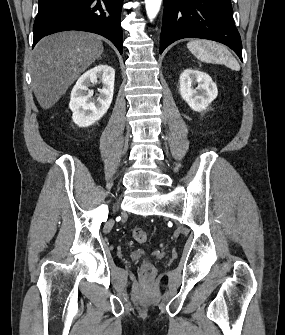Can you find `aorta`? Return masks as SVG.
Here are the masks:
<instances>
[{"label": "aorta", "instance_id": "762f6f07", "mask_svg": "<svg viewBox=\"0 0 285 335\" xmlns=\"http://www.w3.org/2000/svg\"><path fill=\"white\" fill-rule=\"evenodd\" d=\"M161 4H162V0H145L146 12L150 20H154V18H156L160 10Z\"/></svg>", "mask_w": 285, "mask_h": 335}]
</instances>
